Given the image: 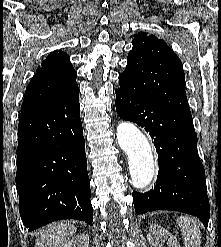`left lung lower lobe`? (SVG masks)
I'll list each match as a JSON object with an SVG mask.
<instances>
[{
	"label": "left lung lower lobe",
	"instance_id": "1",
	"mask_svg": "<svg viewBox=\"0 0 221 247\" xmlns=\"http://www.w3.org/2000/svg\"><path fill=\"white\" fill-rule=\"evenodd\" d=\"M116 93V111L150 133L159 171L153 189L133 191L136 214L170 210L197 216L205 227L210 217L205 170L197 152L191 113H183L135 93L123 75Z\"/></svg>",
	"mask_w": 221,
	"mask_h": 247
}]
</instances>
